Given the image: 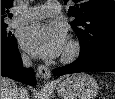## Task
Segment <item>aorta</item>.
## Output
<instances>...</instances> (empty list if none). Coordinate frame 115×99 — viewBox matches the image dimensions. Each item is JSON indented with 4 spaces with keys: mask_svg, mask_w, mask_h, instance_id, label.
Listing matches in <instances>:
<instances>
[{
    "mask_svg": "<svg viewBox=\"0 0 115 99\" xmlns=\"http://www.w3.org/2000/svg\"><path fill=\"white\" fill-rule=\"evenodd\" d=\"M40 99H46V92H45V90L41 91Z\"/></svg>",
    "mask_w": 115,
    "mask_h": 99,
    "instance_id": "1",
    "label": "aorta"
}]
</instances>
